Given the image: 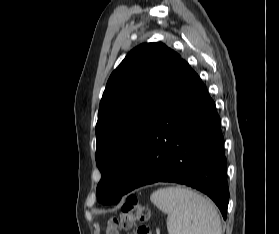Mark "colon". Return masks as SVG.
Here are the masks:
<instances>
[{
	"mask_svg": "<svg viewBox=\"0 0 279 234\" xmlns=\"http://www.w3.org/2000/svg\"><path fill=\"white\" fill-rule=\"evenodd\" d=\"M148 218L147 208L136 197H130L123 203L119 215L108 221L106 234H118V229L127 230L129 234H150Z\"/></svg>",
	"mask_w": 279,
	"mask_h": 234,
	"instance_id": "colon-1",
	"label": "colon"
}]
</instances>
